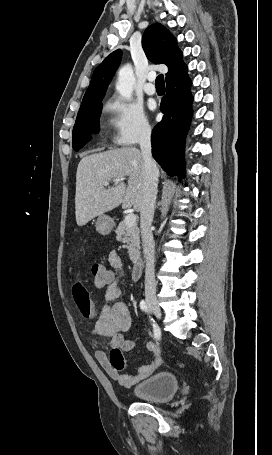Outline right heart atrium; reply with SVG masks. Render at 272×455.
<instances>
[{"mask_svg": "<svg viewBox=\"0 0 272 455\" xmlns=\"http://www.w3.org/2000/svg\"><path fill=\"white\" fill-rule=\"evenodd\" d=\"M107 110L117 145L132 146L149 138L151 127L140 106L116 98L107 104Z\"/></svg>", "mask_w": 272, "mask_h": 455, "instance_id": "right-heart-atrium-1", "label": "right heart atrium"}]
</instances>
